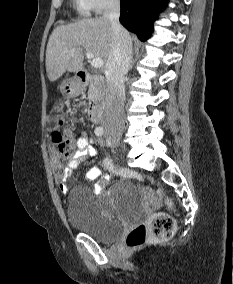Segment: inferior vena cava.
<instances>
[{
	"label": "inferior vena cava",
	"mask_w": 233,
	"mask_h": 284,
	"mask_svg": "<svg viewBox=\"0 0 233 284\" xmlns=\"http://www.w3.org/2000/svg\"><path fill=\"white\" fill-rule=\"evenodd\" d=\"M119 16L120 0H108L103 17L111 23L113 42L105 65L107 89L102 126L107 133H119L124 129V80L132 54L130 35L120 24Z\"/></svg>",
	"instance_id": "602c4592"
}]
</instances>
